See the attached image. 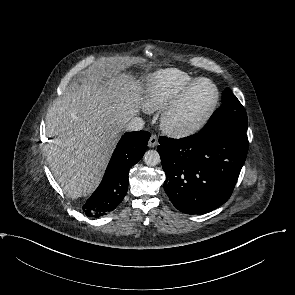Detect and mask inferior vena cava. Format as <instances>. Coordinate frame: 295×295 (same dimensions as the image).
Returning a JSON list of instances; mask_svg holds the SVG:
<instances>
[{"mask_svg": "<svg viewBox=\"0 0 295 295\" xmlns=\"http://www.w3.org/2000/svg\"><path fill=\"white\" fill-rule=\"evenodd\" d=\"M144 127V121L140 117H133L127 123H125L123 129L125 131H139Z\"/></svg>", "mask_w": 295, "mask_h": 295, "instance_id": "inferior-vena-cava-1", "label": "inferior vena cava"}]
</instances>
